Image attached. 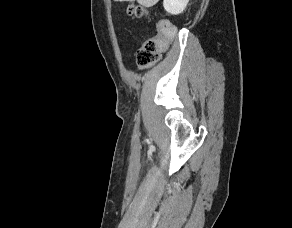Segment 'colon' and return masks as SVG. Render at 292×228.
Wrapping results in <instances>:
<instances>
[{
	"label": "colon",
	"mask_w": 292,
	"mask_h": 228,
	"mask_svg": "<svg viewBox=\"0 0 292 228\" xmlns=\"http://www.w3.org/2000/svg\"><path fill=\"white\" fill-rule=\"evenodd\" d=\"M128 13L137 18L147 16L146 9L140 5L129 6ZM173 36L174 29L171 25L166 23L159 24L157 35L148 38L137 47L135 55L138 66L141 69H146L155 64Z\"/></svg>",
	"instance_id": "5ec220e1"
}]
</instances>
